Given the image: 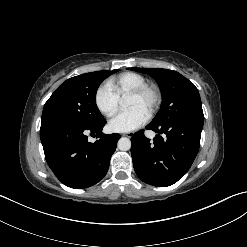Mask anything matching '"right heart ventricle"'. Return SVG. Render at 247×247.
<instances>
[{"instance_id": "obj_1", "label": "right heart ventricle", "mask_w": 247, "mask_h": 247, "mask_svg": "<svg viewBox=\"0 0 247 247\" xmlns=\"http://www.w3.org/2000/svg\"><path fill=\"white\" fill-rule=\"evenodd\" d=\"M145 84H147V79L143 75L135 72L123 73L109 82V86L118 97H124L132 90Z\"/></svg>"}]
</instances>
